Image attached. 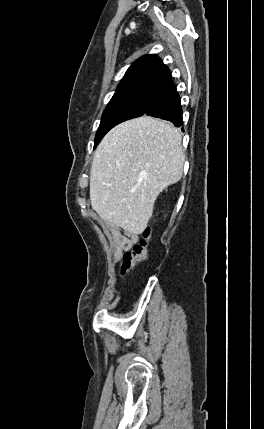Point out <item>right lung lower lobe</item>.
<instances>
[{
    "mask_svg": "<svg viewBox=\"0 0 264 429\" xmlns=\"http://www.w3.org/2000/svg\"><path fill=\"white\" fill-rule=\"evenodd\" d=\"M145 114L169 120L176 126H180L182 124L180 97L172 80L162 88L161 92L149 106Z\"/></svg>",
    "mask_w": 264,
    "mask_h": 429,
    "instance_id": "obj_1",
    "label": "right lung lower lobe"
}]
</instances>
